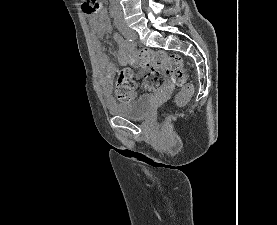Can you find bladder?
<instances>
[{"label": "bladder", "instance_id": "31cf9c89", "mask_svg": "<svg viewBox=\"0 0 277 225\" xmlns=\"http://www.w3.org/2000/svg\"><path fill=\"white\" fill-rule=\"evenodd\" d=\"M107 108L113 115L128 119H142L153 109V97L151 94H141L132 101L109 103Z\"/></svg>", "mask_w": 277, "mask_h": 225}]
</instances>
